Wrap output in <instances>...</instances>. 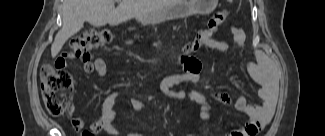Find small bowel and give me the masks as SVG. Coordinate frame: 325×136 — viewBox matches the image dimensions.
Returning <instances> with one entry per match:
<instances>
[{"label":"small bowel","mask_w":325,"mask_h":136,"mask_svg":"<svg viewBox=\"0 0 325 136\" xmlns=\"http://www.w3.org/2000/svg\"><path fill=\"white\" fill-rule=\"evenodd\" d=\"M227 29L232 37L235 45L243 47L245 43L244 32L234 26H218L215 28L209 25L201 30L204 44L211 50L221 53L232 51V46L222 40H218L215 36L223 29ZM255 62L247 65V70L252 79L258 84V96L262 101L260 107H255L248 103L245 97H232L230 94L221 91H211L210 94H204L198 91L175 90L174 87L183 83H198L201 81L203 73V65L196 59L190 58L183 60L185 71L180 74H173L163 78L159 84L160 91L174 100L188 99L200 106V119L206 124L210 119V100L215 99L222 103H233L238 111L249 116V119L240 127L231 129L227 132V136H251L253 132L259 131L263 126L267 125L272 118L275 105L276 82L272 75V67L268 59L260 51L254 52ZM67 53H58L56 59L55 70L59 75L61 83H65L66 91L75 92V76L68 73ZM84 70L86 73H97L99 76L107 74V64L102 58H97L93 62H85ZM118 98V93L112 92L108 94L102 101L100 108V117L98 120L90 124L88 132L92 135L105 131L109 135H118V128L115 124L114 104ZM131 106L134 110H141L144 105L138 99L131 100ZM74 109H70L69 116L72 117ZM71 123L76 129H80L83 125L82 120L73 117ZM133 136V134H129Z\"/></svg>","instance_id":"small-bowel-1"}]
</instances>
